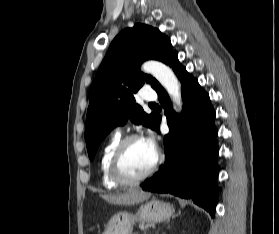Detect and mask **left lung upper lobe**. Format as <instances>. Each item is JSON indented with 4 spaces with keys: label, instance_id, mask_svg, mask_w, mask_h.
<instances>
[{
    "label": "left lung upper lobe",
    "instance_id": "obj_1",
    "mask_svg": "<svg viewBox=\"0 0 279 234\" xmlns=\"http://www.w3.org/2000/svg\"><path fill=\"white\" fill-rule=\"evenodd\" d=\"M168 37L144 24L122 30L112 41L90 88L85 140L90 160L106 135L128 118L153 130L159 115L146 114L133 96L145 82L155 89L160 85L140 71V65L154 59L168 64L175 54Z\"/></svg>",
    "mask_w": 279,
    "mask_h": 234
}]
</instances>
